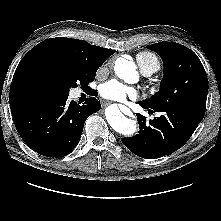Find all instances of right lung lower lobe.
Returning a JSON list of instances; mask_svg holds the SVG:
<instances>
[{"mask_svg": "<svg viewBox=\"0 0 221 221\" xmlns=\"http://www.w3.org/2000/svg\"><path fill=\"white\" fill-rule=\"evenodd\" d=\"M67 99L18 94L10 101L15 127L33 151L48 157L68 155L77 146L87 117L101 108L93 97L81 106Z\"/></svg>", "mask_w": 221, "mask_h": 221, "instance_id": "98d812e1", "label": "right lung lower lobe"}]
</instances>
